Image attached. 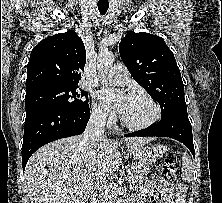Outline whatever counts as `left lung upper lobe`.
Here are the masks:
<instances>
[{
    "label": "left lung upper lobe",
    "instance_id": "left-lung-upper-lobe-1",
    "mask_svg": "<svg viewBox=\"0 0 222 203\" xmlns=\"http://www.w3.org/2000/svg\"><path fill=\"white\" fill-rule=\"evenodd\" d=\"M119 53L134 80L159 102L162 116L187 112L181 73L163 38L129 32L119 44Z\"/></svg>",
    "mask_w": 222,
    "mask_h": 203
}]
</instances>
